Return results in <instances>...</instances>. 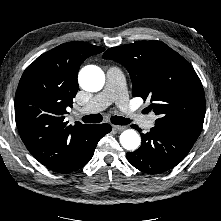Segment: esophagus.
I'll use <instances>...</instances> for the list:
<instances>
[{
  "label": "esophagus",
  "mask_w": 221,
  "mask_h": 221,
  "mask_svg": "<svg viewBox=\"0 0 221 221\" xmlns=\"http://www.w3.org/2000/svg\"><path fill=\"white\" fill-rule=\"evenodd\" d=\"M113 129L116 131H123L126 129V126L113 125Z\"/></svg>",
  "instance_id": "obj_1"
}]
</instances>
